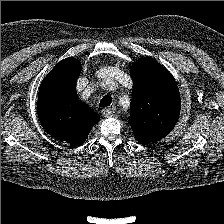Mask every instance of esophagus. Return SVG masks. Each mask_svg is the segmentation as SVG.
Returning a JSON list of instances; mask_svg holds the SVG:
<instances>
[{
  "label": "esophagus",
  "instance_id": "obj_1",
  "mask_svg": "<svg viewBox=\"0 0 224 224\" xmlns=\"http://www.w3.org/2000/svg\"><path fill=\"white\" fill-rule=\"evenodd\" d=\"M113 110H114L113 108H104L102 110V116L105 118H109L113 116V112H114Z\"/></svg>",
  "mask_w": 224,
  "mask_h": 224
}]
</instances>
